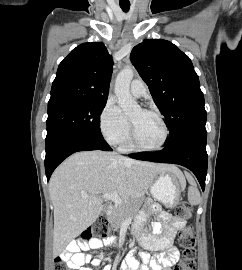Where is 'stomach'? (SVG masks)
Returning a JSON list of instances; mask_svg holds the SVG:
<instances>
[{
  "label": "stomach",
  "mask_w": 242,
  "mask_h": 270,
  "mask_svg": "<svg viewBox=\"0 0 242 270\" xmlns=\"http://www.w3.org/2000/svg\"><path fill=\"white\" fill-rule=\"evenodd\" d=\"M185 188V179L182 175L171 172L159 174L151 185V194L154 199L171 207L178 203L181 191Z\"/></svg>",
  "instance_id": "obj_1"
}]
</instances>
